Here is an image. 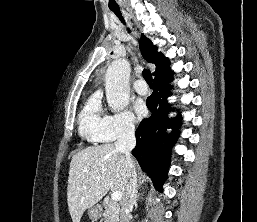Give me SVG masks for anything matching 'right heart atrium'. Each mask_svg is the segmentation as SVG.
<instances>
[{
    "mask_svg": "<svg viewBox=\"0 0 257 222\" xmlns=\"http://www.w3.org/2000/svg\"><path fill=\"white\" fill-rule=\"evenodd\" d=\"M119 120L120 123L115 125L113 122ZM135 132V119L130 111H122L115 117L108 116L104 123L102 137L104 141L111 142L117 139L127 138Z\"/></svg>",
    "mask_w": 257,
    "mask_h": 222,
    "instance_id": "1",
    "label": "right heart atrium"
}]
</instances>
